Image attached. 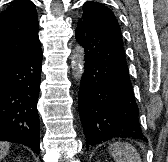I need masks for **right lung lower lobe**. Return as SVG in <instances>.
<instances>
[{
  "mask_svg": "<svg viewBox=\"0 0 168 162\" xmlns=\"http://www.w3.org/2000/svg\"><path fill=\"white\" fill-rule=\"evenodd\" d=\"M42 50L0 67V141L40 150L37 100Z\"/></svg>",
  "mask_w": 168,
  "mask_h": 162,
  "instance_id": "obj_1",
  "label": "right lung lower lobe"
}]
</instances>
